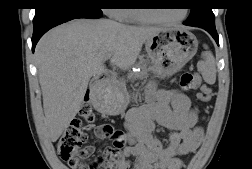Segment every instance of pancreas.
Here are the masks:
<instances>
[{"label":"pancreas","instance_id":"obj_1","mask_svg":"<svg viewBox=\"0 0 252 169\" xmlns=\"http://www.w3.org/2000/svg\"><path fill=\"white\" fill-rule=\"evenodd\" d=\"M147 70H142L140 73L134 74L135 78H145L147 77Z\"/></svg>","mask_w":252,"mask_h":169}]
</instances>
